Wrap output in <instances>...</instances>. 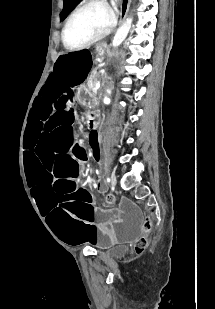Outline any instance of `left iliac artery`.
<instances>
[{
	"mask_svg": "<svg viewBox=\"0 0 215 309\" xmlns=\"http://www.w3.org/2000/svg\"><path fill=\"white\" fill-rule=\"evenodd\" d=\"M106 181L109 183L110 182V178H107Z\"/></svg>",
	"mask_w": 215,
	"mask_h": 309,
	"instance_id": "obj_1",
	"label": "left iliac artery"
}]
</instances>
